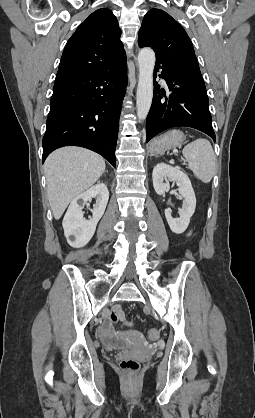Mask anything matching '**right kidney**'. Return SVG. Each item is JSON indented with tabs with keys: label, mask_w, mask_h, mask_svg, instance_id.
Segmentation results:
<instances>
[{
	"label": "right kidney",
	"mask_w": 255,
	"mask_h": 418,
	"mask_svg": "<svg viewBox=\"0 0 255 418\" xmlns=\"http://www.w3.org/2000/svg\"><path fill=\"white\" fill-rule=\"evenodd\" d=\"M96 199V205L92 211V218H83L82 208L87 201ZM109 199L107 186L99 183L87 191L75 197L63 219L64 234L67 242L74 248L85 246L95 233L96 226L103 216Z\"/></svg>",
	"instance_id": "right-kidney-1"
}]
</instances>
